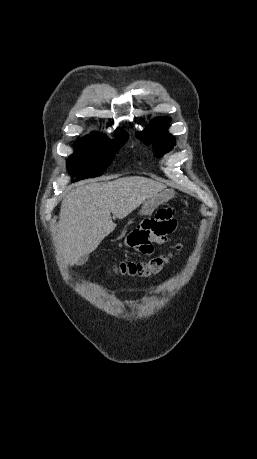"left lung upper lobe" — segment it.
I'll list each match as a JSON object with an SVG mask.
<instances>
[{
    "mask_svg": "<svg viewBox=\"0 0 257 459\" xmlns=\"http://www.w3.org/2000/svg\"><path fill=\"white\" fill-rule=\"evenodd\" d=\"M169 122L168 118H156L146 130L141 132V138L146 144L153 142L155 154L159 157L169 152L175 145L174 138L167 132Z\"/></svg>",
    "mask_w": 257,
    "mask_h": 459,
    "instance_id": "obj_1",
    "label": "left lung upper lobe"
}]
</instances>
